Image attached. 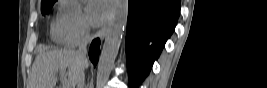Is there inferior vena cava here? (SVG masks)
Segmentation results:
<instances>
[{"label": "inferior vena cava", "mask_w": 267, "mask_h": 88, "mask_svg": "<svg viewBox=\"0 0 267 88\" xmlns=\"http://www.w3.org/2000/svg\"><path fill=\"white\" fill-rule=\"evenodd\" d=\"M90 39V34H89V27L86 26L85 28V33L84 36L79 43L78 49L76 51V56L81 62H87L86 55H87V44ZM84 82H85V74H84V69H81L78 77V83H77V88H84Z\"/></svg>", "instance_id": "602c4592"}]
</instances>
